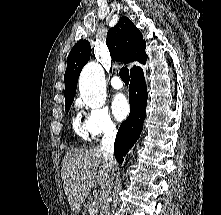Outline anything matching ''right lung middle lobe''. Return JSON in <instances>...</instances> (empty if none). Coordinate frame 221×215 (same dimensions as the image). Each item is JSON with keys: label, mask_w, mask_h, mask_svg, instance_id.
Instances as JSON below:
<instances>
[{"label": "right lung middle lobe", "mask_w": 221, "mask_h": 215, "mask_svg": "<svg viewBox=\"0 0 221 215\" xmlns=\"http://www.w3.org/2000/svg\"><path fill=\"white\" fill-rule=\"evenodd\" d=\"M73 100H70V101H65V109L69 111L70 109V106L72 104Z\"/></svg>", "instance_id": "obj_1"}]
</instances>
